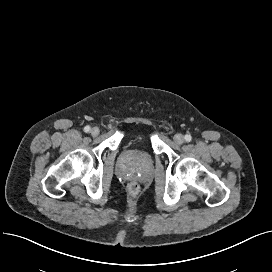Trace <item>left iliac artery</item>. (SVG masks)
<instances>
[{"instance_id": "44dca946", "label": "left iliac artery", "mask_w": 272, "mask_h": 272, "mask_svg": "<svg viewBox=\"0 0 272 272\" xmlns=\"http://www.w3.org/2000/svg\"><path fill=\"white\" fill-rule=\"evenodd\" d=\"M191 140H192L191 135H189V134L185 135V141L186 142H190Z\"/></svg>"}]
</instances>
